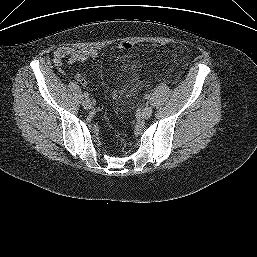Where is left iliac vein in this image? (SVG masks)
Listing matches in <instances>:
<instances>
[{
    "mask_svg": "<svg viewBox=\"0 0 257 257\" xmlns=\"http://www.w3.org/2000/svg\"><path fill=\"white\" fill-rule=\"evenodd\" d=\"M153 109L150 106H146L145 108L142 109L140 116L143 119H148L152 116Z\"/></svg>",
    "mask_w": 257,
    "mask_h": 257,
    "instance_id": "obj_1",
    "label": "left iliac vein"
}]
</instances>
